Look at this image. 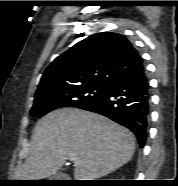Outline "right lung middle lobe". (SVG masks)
<instances>
[{"mask_svg": "<svg viewBox=\"0 0 178 186\" xmlns=\"http://www.w3.org/2000/svg\"><path fill=\"white\" fill-rule=\"evenodd\" d=\"M109 84L91 83L56 90H45L35 94L32 115L39 117L62 107L82 106L104 93Z\"/></svg>", "mask_w": 178, "mask_h": 186, "instance_id": "obj_1", "label": "right lung middle lobe"}]
</instances>
